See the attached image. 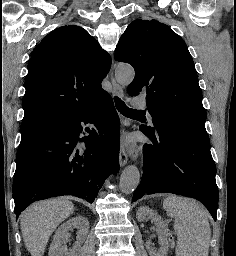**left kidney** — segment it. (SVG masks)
Returning a JSON list of instances; mask_svg holds the SVG:
<instances>
[{
	"label": "left kidney",
	"instance_id": "obj_1",
	"mask_svg": "<svg viewBox=\"0 0 236 256\" xmlns=\"http://www.w3.org/2000/svg\"><path fill=\"white\" fill-rule=\"evenodd\" d=\"M136 218L138 222H144V220L150 218V220H153L157 228V234L159 236V244L161 248H159L158 252H156V250L153 248V244H151L150 240H148V242H146V248L148 250L149 256H167L169 250L167 240L168 234L166 232L164 222H162L160 216H158L154 210L147 208V206H141V208L137 210Z\"/></svg>",
	"mask_w": 236,
	"mask_h": 256
}]
</instances>
